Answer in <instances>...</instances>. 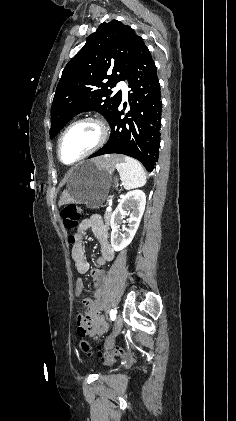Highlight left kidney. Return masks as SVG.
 I'll list each match as a JSON object with an SVG mask.
<instances>
[{
    "mask_svg": "<svg viewBox=\"0 0 236 421\" xmlns=\"http://www.w3.org/2000/svg\"><path fill=\"white\" fill-rule=\"evenodd\" d=\"M146 196L143 190H130L122 200H120L117 208H115L114 213L111 215L110 225L112 229L111 233V247L114 251H122L125 247L130 245L131 241L134 239V235L140 225L142 215L145 211ZM130 206L132 211L130 213V219H128V229H123L125 233H120L119 225L124 223V215H127Z\"/></svg>",
    "mask_w": 236,
    "mask_h": 421,
    "instance_id": "left-kidney-1",
    "label": "left kidney"
}]
</instances>
